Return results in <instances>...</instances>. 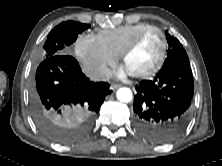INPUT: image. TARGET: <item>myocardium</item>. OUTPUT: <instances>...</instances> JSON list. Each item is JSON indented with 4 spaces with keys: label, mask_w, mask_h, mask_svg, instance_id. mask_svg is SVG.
Wrapping results in <instances>:
<instances>
[{
    "label": "myocardium",
    "mask_w": 222,
    "mask_h": 166,
    "mask_svg": "<svg viewBox=\"0 0 222 166\" xmlns=\"http://www.w3.org/2000/svg\"><path fill=\"white\" fill-rule=\"evenodd\" d=\"M157 32L161 38V52L159 55L158 60L156 63L148 68L147 70H144L142 72L138 73H130L133 77L136 78H145L148 76H151L155 74L164 64L165 59L167 57V49H168V42L165 33L161 28L158 26H148L144 28L142 31H140L119 53L118 60L121 64H123V61L125 58L137 47V45L140 43V41L149 33V32Z\"/></svg>",
    "instance_id": "1"
}]
</instances>
